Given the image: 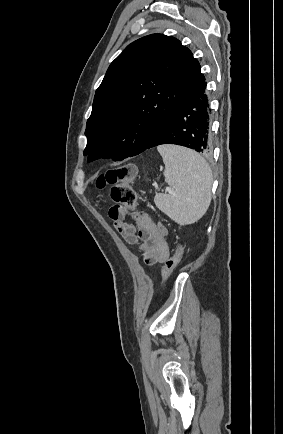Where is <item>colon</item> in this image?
Segmentation results:
<instances>
[{"label": "colon", "instance_id": "5ec220e1", "mask_svg": "<svg viewBox=\"0 0 283 434\" xmlns=\"http://www.w3.org/2000/svg\"><path fill=\"white\" fill-rule=\"evenodd\" d=\"M137 169L134 164H125L106 171L101 174L96 180V186L99 189L109 187L111 199L118 205L125 206L134 212L135 218L140 217L139 211L136 210L137 195L132 187V183L136 177ZM181 245H176L172 255L166 260L162 269V279L165 283L182 257Z\"/></svg>", "mask_w": 283, "mask_h": 434}]
</instances>
